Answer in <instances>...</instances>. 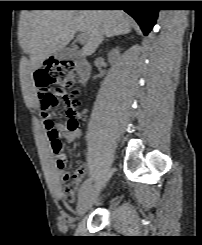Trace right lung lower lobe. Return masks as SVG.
<instances>
[{
    "mask_svg": "<svg viewBox=\"0 0 202 245\" xmlns=\"http://www.w3.org/2000/svg\"><path fill=\"white\" fill-rule=\"evenodd\" d=\"M81 7H123L130 16L140 25L144 35H147L154 26L158 9L153 1H80Z\"/></svg>",
    "mask_w": 202,
    "mask_h": 245,
    "instance_id": "right-lung-lower-lobe-1",
    "label": "right lung lower lobe"
}]
</instances>
